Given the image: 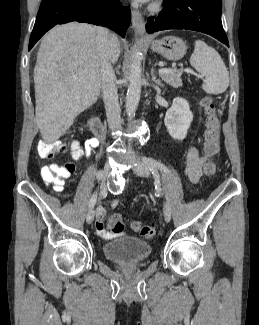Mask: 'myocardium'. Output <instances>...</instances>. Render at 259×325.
<instances>
[{
	"instance_id": "f54148a6",
	"label": "myocardium",
	"mask_w": 259,
	"mask_h": 325,
	"mask_svg": "<svg viewBox=\"0 0 259 325\" xmlns=\"http://www.w3.org/2000/svg\"><path fill=\"white\" fill-rule=\"evenodd\" d=\"M161 9V4L159 2H155L154 4H152L151 6V10L153 12H157Z\"/></svg>"
}]
</instances>
